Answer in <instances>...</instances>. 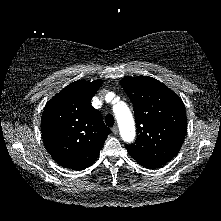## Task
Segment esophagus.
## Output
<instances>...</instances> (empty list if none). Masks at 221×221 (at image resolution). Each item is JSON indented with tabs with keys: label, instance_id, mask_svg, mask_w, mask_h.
<instances>
[{
	"label": "esophagus",
	"instance_id": "obj_1",
	"mask_svg": "<svg viewBox=\"0 0 221 221\" xmlns=\"http://www.w3.org/2000/svg\"><path fill=\"white\" fill-rule=\"evenodd\" d=\"M112 132H113V134L117 135L118 134V127L117 126L112 127Z\"/></svg>",
	"mask_w": 221,
	"mask_h": 221
}]
</instances>
